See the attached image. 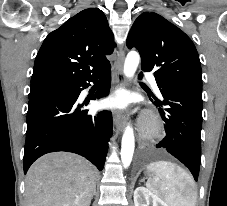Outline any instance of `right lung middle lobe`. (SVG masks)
Masks as SVG:
<instances>
[{
	"label": "right lung middle lobe",
	"mask_w": 227,
	"mask_h": 206,
	"mask_svg": "<svg viewBox=\"0 0 227 206\" xmlns=\"http://www.w3.org/2000/svg\"><path fill=\"white\" fill-rule=\"evenodd\" d=\"M69 88L70 83L64 81L47 80L31 83L29 98L47 93H63Z\"/></svg>",
	"instance_id": "1"
}]
</instances>
